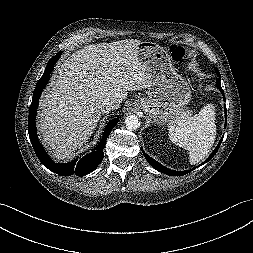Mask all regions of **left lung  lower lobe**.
Returning a JSON list of instances; mask_svg holds the SVG:
<instances>
[{
	"label": "left lung lower lobe",
	"mask_w": 253,
	"mask_h": 253,
	"mask_svg": "<svg viewBox=\"0 0 253 253\" xmlns=\"http://www.w3.org/2000/svg\"><path fill=\"white\" fill-rule=\"evenodd\" d=\"M215 72L217 73V75L219 76L217 79H216V86L217 88L221 91V93L223 94V97H224V101H225V96H224V93H223V90L221 88V84H220V73L218 71L217 68H215ZM225 117H227V114H226V106H225ZM225 126H226V123H225ZM222 142V139L221 141L219 142L218 146L215 148V150L211 153V155L207 158V160L204 163L208 162L214 155L215 153L217 152V150L219 149V146ZM146 160L148 161V163L153 167L155 168L156 170L160 171V172H163L167 175H171V176H181V175H185L187 174L188 172L192 171V170H187V171H174V170H171V169H168L166 167H164L163 165H161L160 163H158L157 161H155L153 158H151L150 156H148L145 152H143Z\"/></svg>",
	"instance_id": "left-lung-lower-lobe-1"
}]
</instances>
